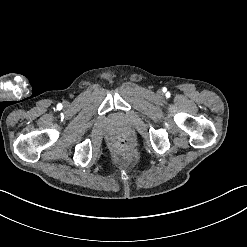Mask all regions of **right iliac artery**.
<instances>
[{"instance_id": "obj_1", "label": "right iliac artery", "mask_w": 247, "mask_h": 247, "mask_svg": "<svg viewBox=\"0 0 247 247\" xmlns=\"http://www.w3.org/2000/svg\"><path fill=\"white\" fill-rule=\"evenodd\" d=\"M61 106H62L61 104H58V105H57V107H58L59 109H61Z\"/></svg>"}]
</instances>
